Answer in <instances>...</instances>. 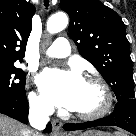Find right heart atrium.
Returning a JSON list of instances; mask_svg holds the SVG:
<instances>
[{"mask_svg":"<svg viewBox=\"0 0 136 136\" xmlns=\"http://www.w3.org/2000/svg\"><path fill=\"white\" fill-rule=\"evenodd\" d=\"M29 104L31 109L39 114L46 115L52 110L51 105L46 101V99L35 92H31L29 94Z\"/></svg>","mask_w":136,"mask_h":136,"instance_id":"1","label":"right heart atrium"}]
</instances>
